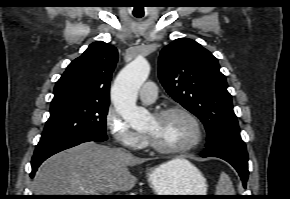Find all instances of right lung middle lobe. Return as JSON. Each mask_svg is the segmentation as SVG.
<instances>
[{
  "instance_id": "dd1d6c3e",
  "label": "right lung middle lobe",
  "mask_w": 290,
  "mask_h": 199,
  "mask_svg": "<svg viewBox=\"0 0 290 199\" xmlns=\"http://www.w3.org/2000/svg\"><path fill=\"white\" fill-rule=\"evenodd\" d=\"M109 104L75 103L50 110L38 144L92 136L107 140L106 115Z\"/></svg>"
}]
</instances>
